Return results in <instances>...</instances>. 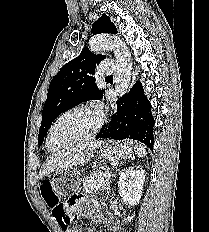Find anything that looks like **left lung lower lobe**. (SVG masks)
Segmentation results:
<instances>
[{
    "label": "left lung lower lobe",
    "instance_id": "left-lung-lower-lobe-1",
    "mask_svg": "<svg viewBox=\"0 0 209 232\" xmlns=\"http://www.w3.org/2000/svg\"><path fill=\"white\" fill-rule=\"evenodd\" d=\"M110 119L97 134V138L138 140L153 150L155 120L151 113V104L144 95L139 81L129 93L120 98L116 112Z\"/></svg>",
    "mask_w": 209,
    "mask_h": 232
}]
</instances>
